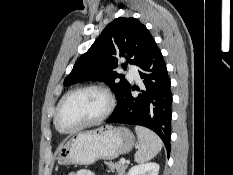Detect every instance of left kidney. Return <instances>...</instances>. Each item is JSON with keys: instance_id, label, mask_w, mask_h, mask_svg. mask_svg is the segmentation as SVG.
<instances>
[{"instance_id": "left-kidney-1", "label": "left kidney", "mask_w": 233, "mask_h": 175, "mask_svg": "<svg viewBox=\"0 0 233 175\" xmlns=\"http://www.w3.org/2000/svg\"><path fill=\"white\" fill-rule=\"evenodd\" d=\"M159 165L155 162H149L133 166L127 175H158Z\"/></svg>"}]
</instances>
